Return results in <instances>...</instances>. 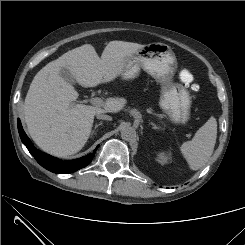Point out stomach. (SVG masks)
Masks as SVG:
<instances>
[{
	"instance_id": "stomach-1",
	"label": "stomach",
	"mask_w": 245,
	"mask_h": 245,
	"mask_svg": "<svg viewBox=\"0 0 245 245\" xmlns=\"http://www.w3.org/2000/svg\"><path fill=\"white\" fill-rule=\"evenodd\" d=\"M176 57L170 46L161 42L143 45L130 55L121 73L129 80L139 76L144 70L162 84L160 106L175 123H186L190 114L189 93L171 79L176 70Z\"/></svg>"
}]
</instances>
